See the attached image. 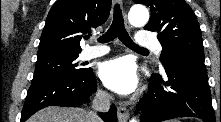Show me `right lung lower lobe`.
<instances>
[{
    "label": "right lung lower lobe",
    "mask_w": 221,
    "mask_h": 122,
    "mask_svg": "<svg viewBox=\"0 0 221 122\" xmlns=\"http://www.w3.org/2000/svg\"><path fill=\"white\" fill-rule=\"evenodd\" d=\"M93 70L77 77H64L41 82H32L21 114L20 122L26 121L38 110L47 106L78 107L89 102L97 86ZM105 122H117L116 107L111 106L108 113H100Z\"/></svg>",
    "instance_id": "right-lung-lower-lobe-1"
}]
</instances>
